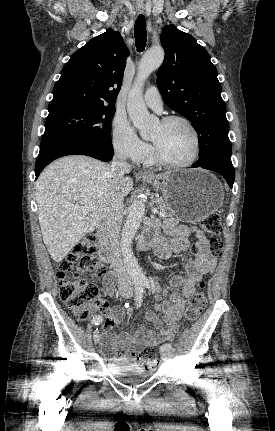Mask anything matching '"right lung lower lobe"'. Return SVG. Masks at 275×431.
Returning <instances> with one entry per match:
<instances>
[{
    "mask_svg": "<svg viewBox=\"0 0 275 431\" xmlns=\"http://www.w3.org/2000/svg\"><path fill=\"white\" fill-rule=\"evenodd\" d=\"M66 155H87L102 161H110L113 148L101 141L81 136L68 134L43 136L35 165L36 179L49 163Z\"/></svg>",
    "mask_w": 275,
    "mask_h": 431,
    "instance_id": "right-lung-lower-lobe-1",
    "label": "right lung lower lobe"
}]
</instances>
